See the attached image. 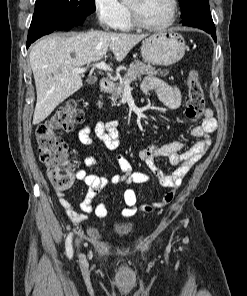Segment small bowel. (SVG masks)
<instances>
[{
	"label": "small bowel",
	"mask_w": 247,
	"mask_h": 296,
	"mask_svg": "<svg viewBox=\"0 0 247 296\" xmlns=\"http://www.w3.org/2000/svg\"><path fill=\"white\" fill-rule=\"evenodd\" d=\"M141 89L144 93L156 92L162 101L170 108H177L181 103V93L176 86L169 85L155 77H146ZM118 121H98L93 125H86L79 131V139L85 145H95L92 134L108 150L116 151L119 148ZM217 129V121L210 108L202 112L201 122L191 130V134L198 138L188 150H184L183 142H171L165 144H154L141 149L138 153L139 159L146 164L151 173L157 178L161 185L169 187L168 191L158 201L149 202L143 205L138 204L136 191L129 187L124 191L125 208L121 215L124 218L134 216L139 210L152 212L156 208H162L171 203L176 190L181 186L183 178L189 169L198 162L208 150L211 139L210 134ZM159 157H165L177 168L171 174H165L155 161ZM117 164L121 174H111L109 177L97 176L89 173L86 169H78L75 176L87 186V192L80 203L79 208L75 207L66 197L63 191L59 190L56 195L66 215L74 222L81 223L87 220L89 214H94L99 219L108 215V208L104 203L93 205L94 198L109 183L126 185L144 184L151 180V176L145 173L135 172L129 161L122 155H116ZM99 160L94 156H86L83 165L86 168L96 166Z\"/></svg>",
	"instance_id": "obj_1"
}]
</instances>
